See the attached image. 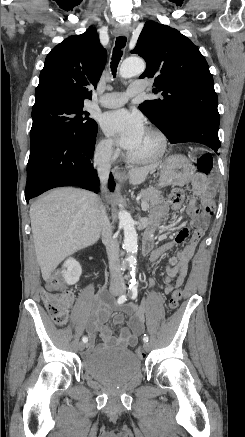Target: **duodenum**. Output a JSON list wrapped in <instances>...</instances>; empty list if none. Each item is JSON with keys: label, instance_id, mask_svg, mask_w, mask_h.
I'll return each instance as SVG.
<instances>
[{"label": "duodenum", "instance_id": "obj_1", "mask_svg": "<svg viewBox=\"0 0 245 437\" xmlns=\"http://www.w3.org/2000/svg\"><path fill=\"white\" fill-rule=\"evenodd\" d=\"M152 240H153V234L151 230H147L144 233V238H143V251L144 254H148L151 244H152Z\"/></svg>", "mask_w": 245, "mask_h": 437}]
</instances>
